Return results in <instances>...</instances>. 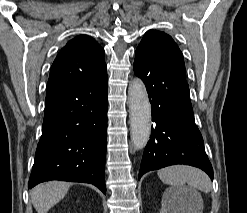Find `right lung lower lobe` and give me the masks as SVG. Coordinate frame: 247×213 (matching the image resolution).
I'll return each instance as SVG.
<instances>
[{
	"mask_svg": "<svg viewBox=\"0 0 247 213\" xmlns=\"http://www.w3.org/2000/svg\"><path fill=\"white\" fill-rule=\"evenodd\" d=\"M107 86L106 71L47 91L29 189L63 180L90 183L106 192Z\"/></svg>",
	"mask_w": 247,
	"mask_h": 213,
	"instance_id": "right-lung-lower-lobe-1",
	"label": "right lung lower lobe"
}]
</instances>
